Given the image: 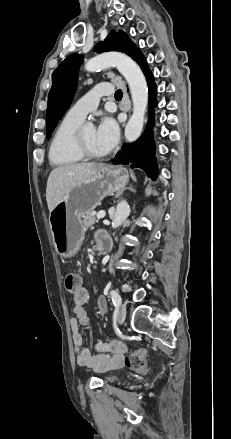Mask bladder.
<instances>
[{
  "instance_id": "1",
  "label": "bladder",
  "mask_w": 231,
  "mask_h": 439,
  "mask_svg": "<svg viewBox=\"0 0 231 439\" xmlns=\"http://www.w3.org/2000/svg\"><path fill=\"white\" fill-rule=\"evenodd\" d=\"M120 379V375L118 373H110L105 377L107 382H116Z\"/></svg>"
}]
</instances>
